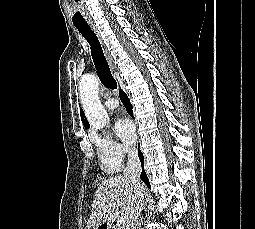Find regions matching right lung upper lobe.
Returning a JSON list of instances; mask_svg holds the SVG:
<instances>
[{
  "mask_svg": "<svg viewBox=\"0 0 255 229\" xmlns=\"http://www.w3.org/2000/svg\"><path fill=\"white\" fill-rule=\"evenodd\" d=\"M80 115H81V120H82L84 127L88 129L90 127V125H89L87 118L85 117V114L83 113L82 110L80 111Z\"/></svg>",
  "mask_w": 255,
  "mask_h": 229,
  "instance_id": "obj_1",
  "label": "right lung upper lobe"
}]
</instances>
